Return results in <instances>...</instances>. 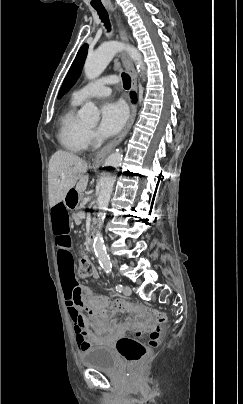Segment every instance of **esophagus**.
I'll return each mask as SVG.
<instances>
[{"label": "esophagus", "instance_id": "obj_1", "mask_svg": "<svg viewBox=\"0 0 243 404\" xmlns=\"http://www.w3.org/2000/svg\"><path fill=\"white\" fill-rule=\"evenodd\" d=\"M109 8L114 13L116 24L118 27V32H119V38L121 41L126 43L128 35H127L126 29L123 25V21H122L120 15L115 11L114 7H109ZM121 59H122L123 65L127 69L128 73L130 75V78L132 80V90L137 92V77H136L134 65H133L131 59L128 57V55L125 52H122ZM136 113H137L136 105H132L129 120H128L127 124L125 125L124 129L122 130V132L120 133V135H118V137H116L114 140H111V142H109L107 145L102 147V149L99 150V152H97L95 159H94V162L96 165L102 164L104 162V159L109 154V152L111 150H113L118 144H120V142H122V140L126 137V135L128 134L129 130L131 129V127L135 121Z\"/></svg>", "mask_w": 243, "mask_h": 404}]
</instances>
